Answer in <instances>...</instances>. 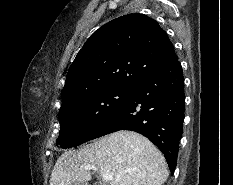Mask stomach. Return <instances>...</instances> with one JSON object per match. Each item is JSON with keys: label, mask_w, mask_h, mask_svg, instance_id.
<instances>
[{"label": "stomach", "mask_w": 233, "mask_h": 185, "mask_svg": "<svg viewBox=\"0 0 233 185\" xmlns=\"http://www.w3.org/2000/svg\"><path fill=\"white\" fill-rule=\"evenodd\" d=\"M73 185H85V183L76 182V183H74Z\"/></svg>", "instance_id": "stomach-1"}]
</instances>
